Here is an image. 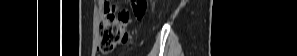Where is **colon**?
<instances>
[{"label": "colon", "mask_w": 297, "mask_h": 56, "mask_svg": "<svg viewBox=\"0 0 297 56\" xmlns=\"http://www.w3.org/2000/svg\"><path fill=\"white\" fill-rule=\"evenodd\" d=\"M147 6L146 0H133L131 3L132 12L137 19L144 16ZM129 21L127 9L106 3L98 25V50L107 54L114 50L119 44V36L126 33L125 28Z\"/></svg>", "instance_id": "obj_1"}]
</instances>
